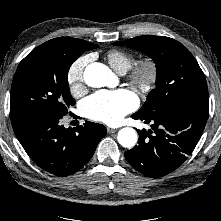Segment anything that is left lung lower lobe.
Wrapping results in <instances>:
<instances>
[{
    "label": "left lung lower lobe",
    "mask_w": 221,
    "mask_h": 221,
    "mask_svg": "<svg viewBox=\"0 0 221 221\" xmlns=\"http://www.w3.org/2000/svg\"><path fill=\"white\" fill-rule=\"evenodd\" d=\"M209 116V108L182 104L158 114L134 113L132 118L152 124L137 130L138 145L125 152L130 165L144 176L158 178L177 169L192 153Z\"/></svg>",
    "instance_id": "0a47b994"
}]
</instances>
